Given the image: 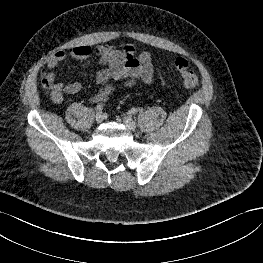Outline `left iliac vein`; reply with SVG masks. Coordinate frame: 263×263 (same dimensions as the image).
Instances as JSON below:
<instances>
[{
  "label": "left iliac vein",
  "instance_id": "1",
  "mask_svg": "<svg viewBox=\"0 0 263 263\" xmlns=\"http://www.w3.org/2000/svg\"><path fill=\"white\" fill-rule=\"evenodd\" d=\"M124 124L129 130L134 131L136 129V122L130 117V116H125L124 117Z\"/></svg>",
  "mask_w": 263,
  "mask_h": 263
}]
</instances>
